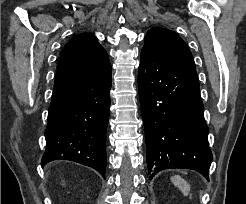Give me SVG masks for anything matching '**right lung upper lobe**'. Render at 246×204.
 Masks as SVG:
<instances>
[{"mask_svg": "<svg viewBox=\"0 0 246 204\" xmlns=\"http://www.w3.org/2000/svg\"><path fill=\"white\" fill-rule=\"evenodd\" d=\"M110 66L106 51L91 34L73 37L63 48L58 70Z\"/></svg>", "mask_w": 246, "mask_h": 204, "instance_id": "1", "label": "right lung upper lobe"}]
</instances>
